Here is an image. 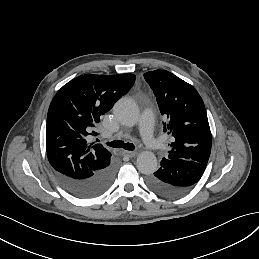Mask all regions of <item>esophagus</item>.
<instances>
[{"instance_id": "1", "label": "esophagus", "mask_w": 259, "mask_h": 259, "mask_svg": "<svg viewBox=\"0 0 259 259\" xmlns=\"http://www.w3.org/2000/svg\"><path fill=\"white\" fill-rule=\"evenodd\" d=\"M122 154H123V156L132 158V157H134V156L137 155V152H136V151H126V150H124V151L122 152Z\"/></svg>"}]
</instances>
